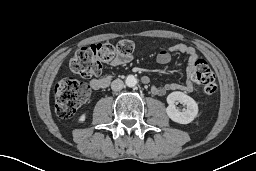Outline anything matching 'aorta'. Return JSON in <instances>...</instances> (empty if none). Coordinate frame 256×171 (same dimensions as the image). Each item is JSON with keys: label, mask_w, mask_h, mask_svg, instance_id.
Masks as SVG:
<instances>
[{"label": "aorta", "mask_w": 256, "mask_h": 171, "mask_svg": "<svg viewBox=\"0 0 256 171\" xmlns=\"http://www.w3.org/2000/svg\"><path fill=\"white\" fill-rule=\"evenodd\" d=\"M125 83H126V86L132 88L136 86L137 79L133 75H129L126 77Z\"/></svg>", "instance_id": "aorta-1"}]
</instances>
